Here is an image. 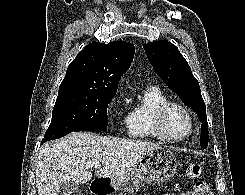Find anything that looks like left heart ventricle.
<instances>
[{"instance_id": "1", "label": "left heart ventricle", "mask_w": 245, "mask_h": 195, "mask_svg": "<svg viewBox=\"0 0 245 195\" xmlns=\"http://www.w3.org/2000/svg\"><path fill=\"white\" fill-rule=\"evenodd\" d=\"M164 127L170 136L183 137L189 131V120L180 109L171 108L165 115Z\"/></svg>"}]
</instances>
